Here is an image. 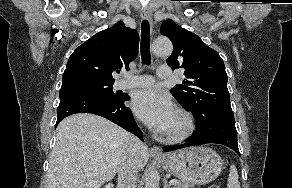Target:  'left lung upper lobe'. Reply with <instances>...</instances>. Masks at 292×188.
<instances>
[{
    "label": "left lung upper lobe",
    "instance_id": "5c2ea615",
    "mask_svg": "<svg viewBox=\"0 0 292 188\" xmlns=\"http://www.w3.org/2000/svg\"><path fill=\"white\" fill-rule=\"evenodd\" d=\"M161 33L173 43L167 64L172 69H185L183 84H177L171 93L194 115L197 128L204 127L216 117L233 114L228 77L219 54L173 20L163 22Z\"/></svg>",
    "mask_w": 292,
    "mask_h": 188
}]
</instances>
